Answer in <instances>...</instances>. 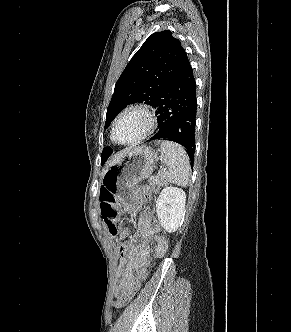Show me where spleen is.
<instances>
[{"instance_id":"3e777b00","label":"spleen","mask_w":291,"mask_h":332,"mask_svg":"<svg viewBox=\"0 0 291 332\" xmlns=\"http://www.w3.org/2000/svg\"><path fill=\"white\" fill-rule=\"evenodd\" d=\"M160 161L168 167L165 179L169 183L185 187L190 177V159L185 149L172 141L160 144Z\"/></svg>"}]
</instances>
